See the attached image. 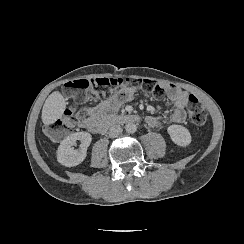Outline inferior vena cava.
<instances>
[{
  "label": "inferior vena cava",
  "mask_w": 244,
  "mask_h": 244,
  "mask_svg": "<svg viewBox=\"0 0 244 244\" xmlns=\"http://www.w3.org/2000/svg\"><path fill=\"white\" fill-rule=\"evenodd\" d=\"M123 129L120 125H113L109 129V136L115 138L122 133Z\"/></svg>",
  "instance_id": "inferior-vena-cava-1"
}]
</instances>
